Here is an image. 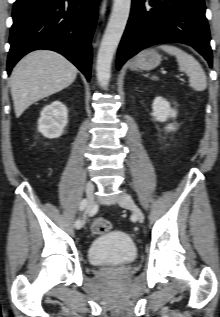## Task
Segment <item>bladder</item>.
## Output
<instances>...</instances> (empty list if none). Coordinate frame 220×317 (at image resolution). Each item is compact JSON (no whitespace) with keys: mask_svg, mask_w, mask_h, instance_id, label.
<instances>
[{"mask_svg":"<svg viewBox=\"0 0 220 317\" xmlns=\"http://www.w3.org/2000/svg\"><path fill=\"white\" fill-rule=\"evenodd\" d=\"M137 248L131 237L122 231L97 236L88 247V260L94 265L119 266L134 261Z\"/></svg>","mask_w":220,"mask_h":317,"instance_id":"obj_1","label":"bladder"}]
</instances>
